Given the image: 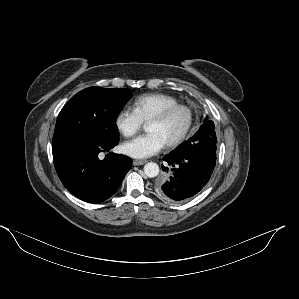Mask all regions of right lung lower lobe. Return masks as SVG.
Wrapping results in <instances>:
<instances>
[{
	"instance_id": "98d812e1",
	"label": "right lung lower lobe",
	"mask_w": 299,
	"mask_h": 299,
	"mask_svg": "<svg viewBox=\"0 0 299 299\" xmlns=\"http://www.w3.org/2000/svg\"><path fill=\"white\" fill-rule=\"evenodd\" d=\"M117 144L74 140L53 146L54 166L63 185L86 202L99 203L111 197L131 168L132 161L113 152L100 160L98 154L109 152Z\"/></svg>"
}]
</instances>
